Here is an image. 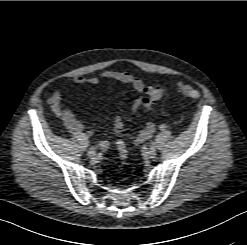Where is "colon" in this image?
I'll return each mask as SVG.
<instances>
[{"instance_id": "obj_1", "label": "colon", "mask_w": 247, "mask_h": 245, "mask_svg": "<svg viewBox=\"0 0 247 245\" xmlns=\"http://www.w3.org/2000/svg\"><path fill=\"white\" fill-rule=\"evenodd\" d=\"M178 90L185 98L188 99H195L199 96V92L189 85L181 84L178 86ZM148 94L150 101L155 102L163 97L164 91L161 88H150ZM117 149L119 153L118 165L119 167H123L128 156L127 146L123 140H119L117 142Z\"/></svg>"}]
</instances>
